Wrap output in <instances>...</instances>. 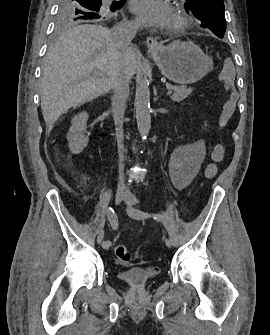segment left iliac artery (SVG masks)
Returning <instances> with one entry per match:
<instances>
[{
  "label": "left iliac artery",
  "instance_id": "obj_1",
  "mask_svg": "<svg viewBox=\"0 0 270 335\" xmlns=\"http://www.w3.org/2000/svg\"><path fill=\"white\" fill-rule=\"evenodd\" d=\"M133 213L137 217L145 218V217L152 216L154 219H156L158 221H161L164 224V226L166 227L167 231H168V234H169V237H170V240H171L173 246H178L179 241H178V238H177L176 233L174 231V228L165 216L160 215V214L150 215L149 213L143 212V211L138 210V209H134Z\"/></svg>",
  "mask_w": 270,
  "mask_h": 335
}]
</instances>
